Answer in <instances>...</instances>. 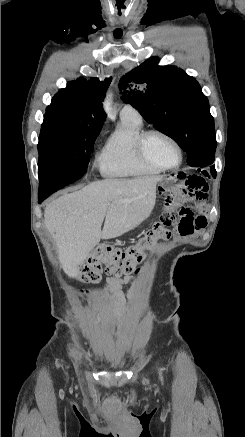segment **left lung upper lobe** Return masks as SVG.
Listing matches in <instances>:
<instances>
[{"instance_id":"1","label":"left lung upper lobe","mask_w":245,"mask_h":437,"mask_svg":"<svg viewBox=\"0 0 245 437\" xmlns=\"http://www.w3.org/2000/svg\"><path fill=\"white\" fill-rule=\"evenodd\" d=\"M158 62L152 57L124 75L119 82L121 98L174 139L191 166L206 167L214 162L217 145L208 99L195 78ZM211 172L214 175L215 169Z\"/></svg>"}]
</instances>
